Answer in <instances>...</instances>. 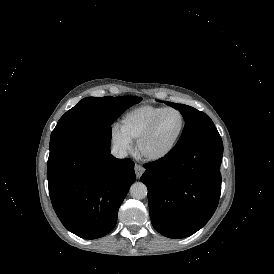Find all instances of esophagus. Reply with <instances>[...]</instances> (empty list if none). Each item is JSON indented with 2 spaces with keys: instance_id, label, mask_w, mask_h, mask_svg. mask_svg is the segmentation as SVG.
Listing matches in <instances>:
<instances>
[{
  "instance_id": "obj_1",
  "label": "esophagus",
  "mask_w": 274,
  "mask_h": 274,
  "mask_svg": "<svg viewBox=\"0 0 274 274\" xmlns=\"http://www.w3.org/2000/svg\"><path fill=\"white\" fill-rule=\"evenodd\" d=\"M145 169L139 164H135V174L137 178H140L141 175L144 173Z\"/></svg>"
}]
</instances>
